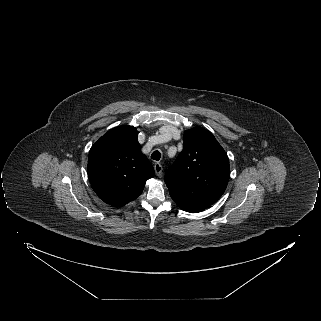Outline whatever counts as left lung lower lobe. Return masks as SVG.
<instances>
[{"mask_svg":"<svg viewBox=\"0 0 321 321\" xmlns=\"http://www.w3.org/2000/svg\"><path fill=\"white\" fill-rule=\"evenodd\" d=\"M179 207L184 211L191 212V213L201 212L204 210L203 208H199V207H188V206H179Z\"/></svg>","mask_w":321,"mask_h":321,"instance_id":"left-lung-lower-lobe-1","label":"left lung lower lobe"}]
</instances>
